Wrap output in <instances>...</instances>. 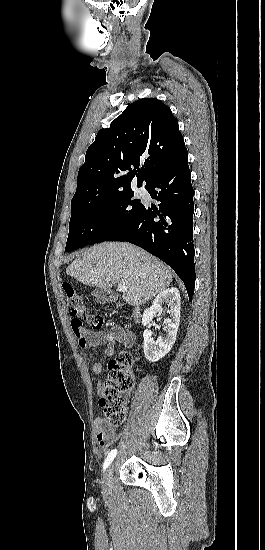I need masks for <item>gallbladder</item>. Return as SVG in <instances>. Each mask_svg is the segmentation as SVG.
I'll return each instance as SVG.
<instances>
[{"label": "gallbladder", "mask_w": 265, "mask_h": 550, "mask_svg": "<svg viewBox=\"0 0 265 550\" xmlns=\"http://www.w3.org/2000/svg\"><path fill=\"white\" fill-rule=\"evenodd\" d=\"M97 303L105 304L107 302H116L118 296L107 289L96 288L91 292Z\"/></svg>", "instance_id": "1"}]
</instances>
